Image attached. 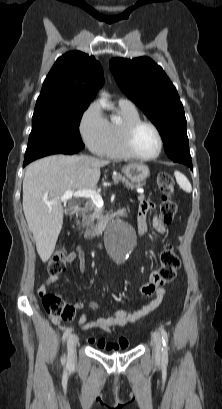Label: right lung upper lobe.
Listing matches in <instances>:
<instances>
[{
	"label": "right lung upper lobe",
	"mask_w": 222,
	"mask_h": 409,
	"mask_svg": "<svg viewBox=\"0 0 222 409\" xmlns=\"http://www.w3.org/2000/svg\"><path fill=\"white\" fill-rule=\"evenodd\" d=\"M98 61L80 51H70L57 59L47 75L35 109L62 104H90L103 85Z\"/></svg>",
	"instance_id": "right-lung-upper-lobe-1"
}]
</instances>
